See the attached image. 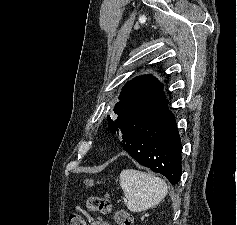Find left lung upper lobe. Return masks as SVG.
Returning a JSON list of instances; mask_svg holds the SVG:
<instances>
[{"label": "left lung upper lobe", "instance_id": "1", "mask_svg": "<svg viewBox=\"0 0 237 225\" xmlns=\"http://www.w3.org/2000/svg\"><path fill=\"white\" fill-rule=\"evenodd\" d=\"M166 100L163 84L152 75H142L128 81L119 96V102L114 107L117 118L107 116L108 128L115 134L121 120L139 107Z\"/></svg>", "mask_w": 237, "mask_h": 225}]
</instances>
